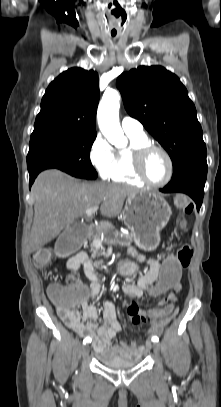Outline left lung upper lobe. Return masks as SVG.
<instances>
[{
    "mask_svg": "<svg viewBox=\"0 0 221 407\" xmlns=\"http://www.w3.org/2000/svg\"><path fill=\"white\" fill-rule=\"evenodd\" d=\"M124 106L166 149L173 174L206 157L196 109L180 79L161 66H140L117 79Z\"/></svg>",
    "mask_w": 221,
    "mask_h": 407,
    "instance_id": "1",
    "label": "left lung upper lobe"
}]
</instances>
